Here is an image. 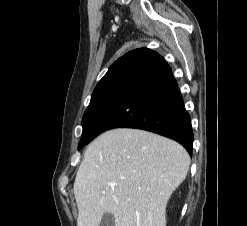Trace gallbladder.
Listing matches in <instances>:
<instances>
[{
  "mask_svg": "<svg viewBox=\"0 0 247 226\" xmlns=\"http://www.w3.org/2000/svg\"><path fill=\"white\" fill-rule=\"evenodd\" d=\"M99 226H115L113 215L110 213H106L103 216Z\"/></svg>",
  "mask_w": 247,
  "mask_h": 226,
  "instance_id": "gallbladder-1",
  "label": "gallbladder"
}]
</instances>
